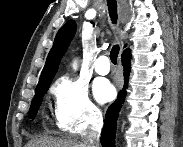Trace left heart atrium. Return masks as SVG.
Instances as JSON below:
<instances>
[{"instance_id": "39dd6f15", "label": "left heart atrium", "mask_w": 183, "mask_h": 147, "mask_svg": "<svg viewBox=\"0 0 183 147\" xmlns=\"http://www.w3.org/2000/svg\"><path fill=\"white\" fill-rule=\"evenodd\" d=\"M93 94L99 103L111 100L114 96V87L106 79H98L93 84Z\"/></svg>"}]
</instances>
